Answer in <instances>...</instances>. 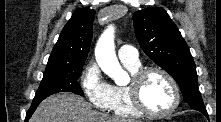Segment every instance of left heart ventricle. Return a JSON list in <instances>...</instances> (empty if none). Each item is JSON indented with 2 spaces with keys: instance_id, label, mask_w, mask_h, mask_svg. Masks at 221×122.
Returning a JSON list of instances; mask_svg holds the SVG:
<instances>
[{
  "instance_id": "obj_1",
  "label": "left heart ventricle",
  "mask_w": 221,
  "mask_h": 122,
  "mask_svg": "<svg viewBox=\"0 0 221 122\" xmlns=\"http://www.w3.org/2000/svg\"><path fill=\"white\" fill-rule=\"evenodd\" d=\"M146 106L155 112L168 110L173 104V91L169 82L160 74L148 75L141 87Z\"/></svg>"
}]
</instances>
